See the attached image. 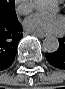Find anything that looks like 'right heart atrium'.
I'll list each match as a JSON object with an SVG mask.
<instances>
[{"label": "right heart atrium", "mask_w": 65, "mask_h": 89, "mask_svg": "<svg viewBox=\"0 0 65 89\" xmlns=\"http://www.w3.org/2000/svg\"><path fill=\"white\" fill-rule=\"evenodd\" d=\"M15 8L17 13L26 15L32 10V2L30 0H17Z\"/></svg>", "instance_id": "1"}]
</instances>
